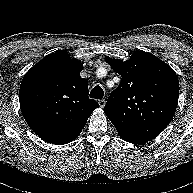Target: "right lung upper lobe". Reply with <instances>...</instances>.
Here are the masks:
<instances>
[{"mask_svg": "<svg viewBox=\"0 0 193 193\" xmlns=\"http://www.w3.org/2000/svg\"><path fill=\"white\" fill-rule=\"evenodd\" d=\"M82 63L67 51L47 55L23 77L19 90L22 114L43 140L61 145L74 140L99 104L88 98Z\"/></svg>", "mask_w": 193, "mask_h": 193, "instance_id": "obj_1", "label": "right lung upper lobe"}]
</instances>
